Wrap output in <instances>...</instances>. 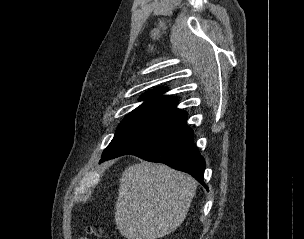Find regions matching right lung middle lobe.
<instances>
[{
  "label": "right lung middle lobe",
  "instance_id": "1",
  "mask_svg": "<svg viewBox=\"0 0 304 239\" xmlns=\"http://www.w3.org/2000/svg\"><path fill=\"white\" fill-rule=\"evenodd\" d=\"M167 122H169L167 119L144 113H129L118 126L113 140L104 150L102 157L146 135Z\"/></svg>",
  "mask_w": 304,
  "mask_h": 239
}]
</instances>
